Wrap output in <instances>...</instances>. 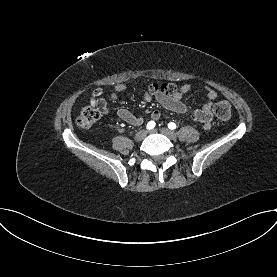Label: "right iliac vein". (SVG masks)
<instances>
[{
	"mask_svg": "<svg viewBox=\"0 0 277 277\" xmlns=\"http://www.w3.org/2000/svg\"><path fill=\"white\" fill-rule=\"evenodd\" d=\"M147 136V131L146 130H141L135 135V140L136 141H141Z\"/></svg>",
	"mask_w": 277,
	"mask_h": 277,
	"instance_id": "63e3f726",
	"label": "right iliac vein"
}]
</instances>
